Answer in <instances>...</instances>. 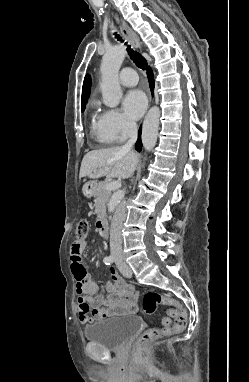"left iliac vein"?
<instances>
[{
    "label": "left iliac vein",
    "instance_id": "1",
    "mask_svg": "<svg viewBox=\"0 0 249 382\" xmlns=\"http://www.w3.org/2000/svg\"><path fill=\"white\" fill-rule=\"evenodd\" d=\"M116 265L119 269V271L122 273V275L126 278H130L132 276V271L131 268L126 264L121 257H117L116 260Z\"/></svg>",
    "mask_w": 249,
    "mask_h": 382
}]
</instances>
